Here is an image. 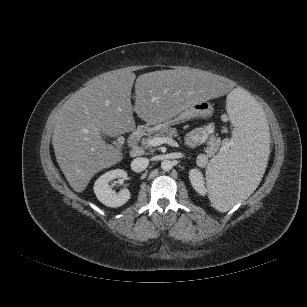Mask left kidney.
Here are the masks:
<instances>
[{"label":"left kidney","mask_w":307,"mask_h":307,"mask_svg":"<svg viewBox=\"0 0 307 307\" xmlns=\"http://www.w3.org/2000/svg\"><path fill=\"white\" fill-rule=\"evenodd\" d=\"M189 179L194 187V189L200 194V195H205L206 194V188L204 185V178L203 174L199 169H191L189 172Z\"/></svg>","instance_id":"1"}]
</instances>
